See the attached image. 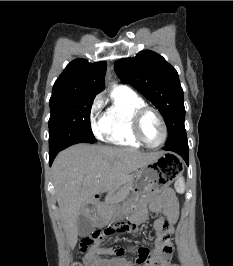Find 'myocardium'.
Listing matches in <instances>:
<instances>
[{
  "mask_svg": "<svg viewBox=\"0 0 233 266\" xmlns=\"http://www.w3.org/2000/svg\"><path fill=\"white\" fill-rule=\"evenodd\" d=\"M148 112H152L154 113L159 122L161 123L162 129H163V137L162 140L160 141V143L156 144V145H151L149 144L143 137L142 135V131H141V124H142V120L144 118V116L148 113ZM132 132L134 137L136 138V140L141 144L144 145L148 148H159L161 147L167 140V136H168V129H167V125L166 122L162 116V114L159 112L158 109L149 106V105H143L140 108H138L133 115L132 118Z\"/></svg>",
  "mask_w": 233,
  "mask_h": 266,
  "instance_id": "obj_1",
  "label": "myocardium"
}]
</instances>
